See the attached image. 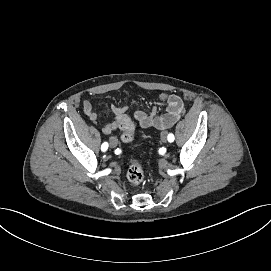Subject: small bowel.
Segmentation results:
<instances>
[{
	"label": "small bowel",
	"instance_id": "c3829d8e",
	"mask_svg": "<svg viewBox=\"0 0 271 271\" xmlns=\"http://www.w3.org/2000/svg\"><path fill=\"white\" fill-rule=\"evenodd\" d=\"M158 102L166 106V112L159 114L156 107L150 112L136 111L134 116L142 128L166 129L178 121L185 111L182 97L178 94L160 93ZM82 109L87 118L92 121L97 120L98 114L88 100L82 102ZM127 107H118L113 105L111 111L113 120L103 125L102 131L105 134H111L120 127L121 121L127 116Z\"/></svg>",
	"mask_w": 271,
	"mask_h": 271
}]
</instances>
